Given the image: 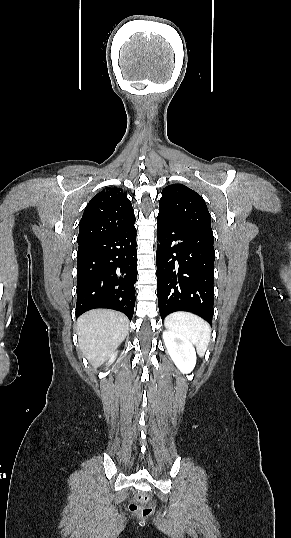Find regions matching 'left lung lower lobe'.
<instances>
[{"label":"left lung lower lobe","instance_id":"obj_1","mask_svg":"<svg viewBox=\"0 0 291 538\" xmlns=\"http://www.w3.org/2000/svg\"><path fill=\"white\" fill-rule=\"evenodd\" d=\"M157 295L161 318L189 311L212 324L214 237L205 230L157 217Z\"/></svg>","mask_w":291,"mask_h":538}]
</instances>
